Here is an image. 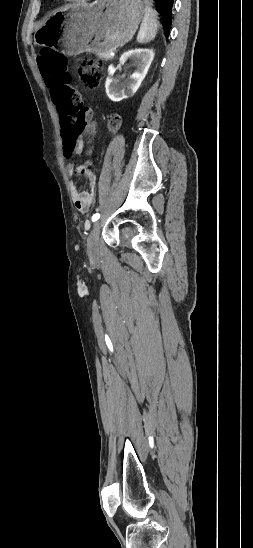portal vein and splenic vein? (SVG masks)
I'll return each instance as SVG.
<instances>
[{"label": "portal vein and splenic vein", "instance_id": "obj_1", "mask_svg": "<svg viewBox=\"0 0 253 548\" xmlns=\"http://www.w3.org/2000/svg\"><path fill=\"white\" fill-rule=\"evenodd\" d=\"M110 55H111V56H112V58H113V56H114V53H110Z\"/></svg>", "mask_w": 253, "mask_h": 548}]
</instances>
